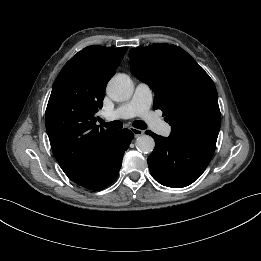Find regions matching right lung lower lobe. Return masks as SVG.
<instances>
[{"instance_id": "1", "label": "right lung lower lobe", "mask_w": 261, "mask_h": 261, "mask_svg": "<svg viewBox=\"0 0 261 261\" xmlns=\"http://www.w3.org/2000/svg\"><path fill=\"white\" fill-rule=\"evenodd\" d=\"M133 133L128 129L118 130L104 148L101 158L84 175L73 180L76 184L90 189L101 190L117 177L124 152L128 149Z\"/></svg>"}]
</instances>
